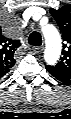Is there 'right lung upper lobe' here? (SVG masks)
<instances>
[{
    "mask_svg": "<svg viewBox=\"0 0 71 119\" xmlns=\"http://www.w3.org/2000/svg\"><path fill=\"white\" fill-rule=\"evenodd\" d=\"M20 45L19 40L16 41L3 36L0 37V69L2 73L8 72L15 64L14 54Z\"/></svg>",
    "mask_w": 71,
    "mask_h": 119,
    "instance_id": "right-lung-upper-lobe-1",
    "label": "right lung upper lobe"
}]
</instances>
